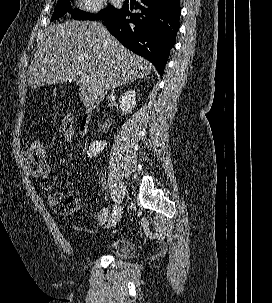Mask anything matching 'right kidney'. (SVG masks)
<instances>
[{
  "label": "right kidney",
  "mask_w": 272,
  "mask_h": 303,
  "mask_svg": "<svg viewBox=\"0 0 272 303\" xmlns=\"http://www.w3.org/2000/svg\"><path fill=\"white\" fill-rule=\"evenodd\" d=\"M135 96L136 93L134 90L126 91L121 95L119 104L125 115L131 113V110L136 106ZM106 145H107L106 141L105 142L96 141L91 143L87 151L88 157L92 158L94 156H97V154L103 151Z\"/></svg>",
  "instance_id": "ca27d5eb"
}]
</instances>
